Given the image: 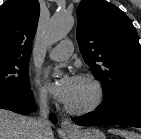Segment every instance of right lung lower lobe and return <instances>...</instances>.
<instances>
[{
  "mask_svg": "<svg viewBox=\"0 0 141 139\" xmlns=\"http://www.w3.org/2000/svg\"><path fill=\"white\" fill-rule=\"evenodd\" d=\"M0 108L20 114H29L36 110L33 93L30 89L24 91L0 92ZM51 121L57 122L56 116L51 114Z\"/></svg>",
  "mask_w": 141,
  "mask_h": 139,
  "instance_id": "1",
  "label": "right lung lower lobe"
}]
</instances>
